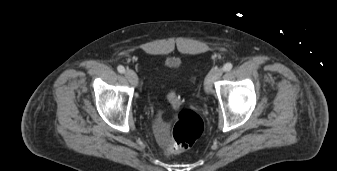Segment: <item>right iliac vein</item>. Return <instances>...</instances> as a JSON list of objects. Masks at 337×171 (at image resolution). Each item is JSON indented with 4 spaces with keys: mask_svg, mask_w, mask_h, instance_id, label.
Returning <instances> with one entry per match:
<instances>
[{
    "mask_svg": "<svg viewBox=\"0 0 337 171\" xmlns=\"http://www.w3.org/2000/svg\"><path fill=\"white\" fill-rule=\"evenodd\" d=\"M125 76L132 85H137L138 77L133 70H126Z\"/></svg>",
    "mask_w": 337,
    "mask_h": 171,
    "instance_id": "63e3f726",
    "label": "right iliac vein"
}]
</instances>
